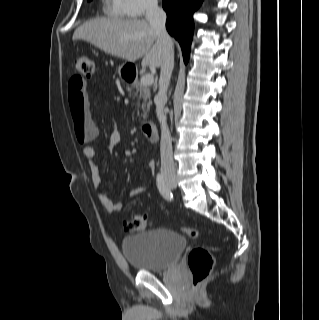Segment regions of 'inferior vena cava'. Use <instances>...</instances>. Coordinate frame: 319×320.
<instances>
[{
	"label": "inferior vena cava",
	"instance_id": "602c4592",
	"mask_svg": "<svg viewBox=\"0 0 319 320\" xmlns=\"http://www.w3.org/2000/svg\"><path fill=\"white\" fill-rule=\"evenodd\" d=\"M146 20L157 32L158 39L164 45L163 62L159 78V91L154 98L157 118L161 124V172L164 176H175L173 161L172 139L166 123L164 106L167 102V88L174 67L173 43L166 31V13L158 6L157 0H150L146 9Z\"/></svg>",
	"mask_w": 319,
	"mask_h": 320
}]
</instances>
